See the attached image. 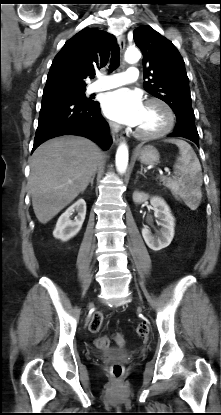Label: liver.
<instances>
[{"mask_svg": "<svg viewBox=\"0 0 221 415\" xmlns=\"http://www.w3.org/2000/svg\"><path fill=\"white\" fill-rule=\"evenodd\" d=\"M102 158L95 143L73 135L50 139L35 150L29 185L40 223L49 222L85 191Z\"/></svg>", "mask_w": 221, "mask_h": 415, "instance_id": "obj_1", "label": "liver"}]
</instances>
